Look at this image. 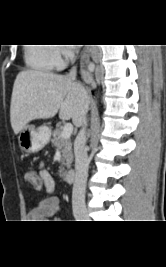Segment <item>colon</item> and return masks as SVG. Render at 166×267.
<instances>
[{
	"label": "colon",
	"instance_id": "obj_1",
	"mask_svg": "<svg viewBox=\"0 0 166 267\" xmlns=\"http://www.w3.org/2000/svg\"><path fill=\"white\" fill-rule=\"evenodd\" d=\"M25 178L28 185H34L35 188H44V183L42 182V177H38L37 171H32V169H25Z\"/></svg>",
	"mask_w": 166,
	"mask_h": 267
}]
</instances>
